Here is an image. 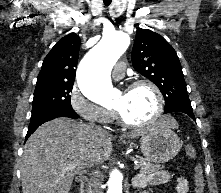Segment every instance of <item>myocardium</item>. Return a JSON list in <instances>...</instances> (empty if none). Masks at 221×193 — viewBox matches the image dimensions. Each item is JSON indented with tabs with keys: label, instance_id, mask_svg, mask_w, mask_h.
<instances>
[{
	"label": "myocardium",
	"instance_id": "myocardium-1",
	"mask_svg": "<svg viewBox=\"0 0 221 193\" xmlns=\"http://www.w3.org/2000/svg\"><path fill=\"white\" fill-rule=\"evenodd\" d=\"M142 86L149 87L152 90V92L155 96V99H156L155 111H154L153 115L147 121L131 122L125 118V116L122 114V112L119 109L114 108L118 121L120 122L121 125H123L125 127L136 128V129L148 127V126L154 124L160 118V116L163 112V108H164L163 94H162L161 90L159 89V87L154 82H152L150 80H146V79L136 80V81L132 82L126 88V90H132V89H136V88L142 87Z\"/></svg>",
	"mask_w": 221,
	"mask_h": 193
}]
</instances>
